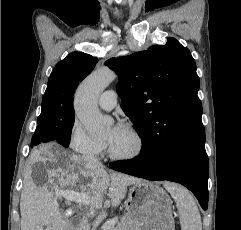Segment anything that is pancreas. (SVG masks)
Segmentation results:
<instances>
[{
    "label": "pancreas",
    "mask_w": 241,
    "mask_h": 230,
    "mask_svg": "<svg viewBox=\"0 0 241 230\" xmlns=\"http://www.w3.org/2000/svg\"><path fill=\"white\" fill-rule=\"evenodd\" d=\"M88 222L86 218H83L75 230H88ZM137 222L128 216L122 217L121 221L116 227L110 228V230H136Z\"/></svg>",
    "instance_id": "cf45deb5"
}]
</instances>
